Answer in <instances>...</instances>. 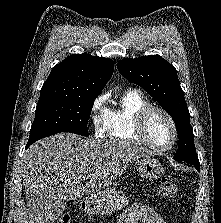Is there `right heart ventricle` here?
<instances>
[{
    "instance_id": "right-heart-ventricle-1",
    "label": "right heart ventricle",
    "mask_w": 221,
    "mask_h": 223,
    "mask_svg": "<svg viewBox=\"0 0 221 223\" xmlns=\"http://www.w3.org/2000/svg\"><path fill=\"white\" fill-rule=\"evenodd\" d=\"M145 94L136 89L127 90L120 98L118 106L108 111L106 135L109 140L119 143H138L134 125L138 113L150 106Z\"/></svg>"
}]
</instances>
